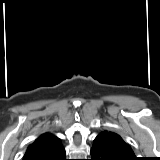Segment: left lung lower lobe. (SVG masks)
Here are the masks:
<instances>
[{
    "mask_svg": "<svg viewBox=\"0 0 160 160\" xmlns=\"http://www.w3.org/2000/svg\"><path fill=\"white\" fill-rule=\"evenodd\" d=\"M91 160H137L129 157L112 138L101 132L93 141Z\"/></svg>",
    "mask_w": 160,
    "mask_h": 160,
    "instance_id": "obj_1",
    "label": "left lung lower lobe"
}]
</instances>
